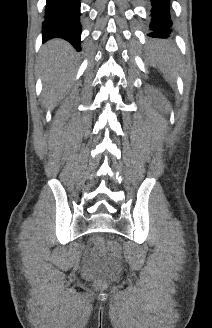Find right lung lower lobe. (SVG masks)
<instances>
[{"mask_svg":"<svg viewBox=\"0 0 212 328\" xmlns=\"http://www.w3.org/2000/svg\"><path fill=\"white\" fill-rule=\"evenodd\" d=\"M45 19L42 25L44 41L55 37L69 41L80 51L79 0H46Z\"/></svg>","mask_w":212,"mask_h":328,"instance_id":"right-lung-lower-lobe-1","label":"right lung lower lobe"}]
</instances>
